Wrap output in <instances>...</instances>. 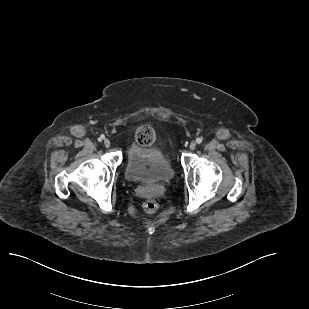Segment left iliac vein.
<instances>
[{
	"label": "left iliac vein",
	"instance_id": "4c4485c4",
	"mask_svg": "<svg viewBox=\"0 0 309 309\" xmlns=\"http://www.w3.org/2000/svg\"><path fill=\"white\" fill-rule=\"evenodd\" d=\"M189 148H190L191 150H194V149L196 148V143H195L194 141H192V142L190 143V145H189Z\"/></svg>",
	"mask_w": 309,
	"mask_h": 309
}]
</instances>
